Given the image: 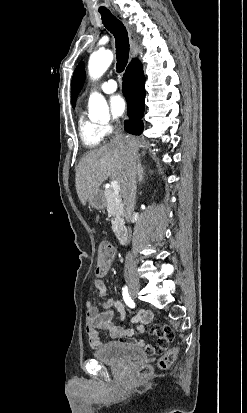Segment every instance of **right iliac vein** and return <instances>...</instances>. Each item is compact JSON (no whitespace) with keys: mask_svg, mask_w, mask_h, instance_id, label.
I'll return each instance as SVG.
<instances>
[{"mask_svg":"<svg viewBox=\"0 0 247 413\" xmlns=\"http://www.w3.org/2000/svg\"><path fill=\"white\" fill-rule=\"evenodd\" d=\"M138 290H139V286H138V285H132V286L129 287V291H130V294H131L132 296H135L136 293L138 292Z\"/></svg>","mask_w":247,"mask_h":413,"instance_id":"obj_1","label":"right iliac vein"}]
</instances>
